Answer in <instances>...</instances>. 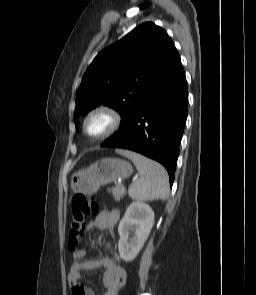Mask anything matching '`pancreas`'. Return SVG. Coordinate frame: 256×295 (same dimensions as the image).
Returning <instances> with one entry per match:
<instances>
[{"mask_svg": "<svg viewBox=\"0 0 256 295\" xmlns=\"http://www.w3.org/2000/svg\"><path fill=\"white\" fill-rule=\"evenodd\" d=\"M108 192L113 194L116 201H119L123 196L126 195V189L121 184L116 185L114 188L108 189Z\"/></svg>", "mask_w": 256, "mask_h": 295, "instance_id": "pancreas-1", "label": "pancreas"}]
</instances>
